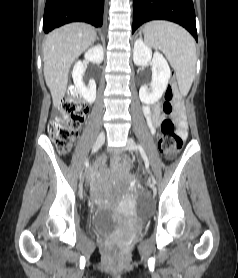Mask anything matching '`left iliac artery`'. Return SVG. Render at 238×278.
I'll return each instance as SVG.
<instances>
[{
    "instance_id": "44dca946",
    "label": "left iliac artery",
    "mask_w": 238,
    "mask_h": 278,
    "mask_svg": "<svg viewBox=\"0 0 238 278\" xmlns=\"http://www.w3.org/2000/svg\"><path fill=\"white\" fill-rule=\"evenodd\" d=\"M138 148H139V151H140V153H141L142 158L144 159V162H145L146 166H149V160H148V157H147V155H146L144 149H143L142 146L139 145V144H138Z\"/></svg>"
}]
</instances>
